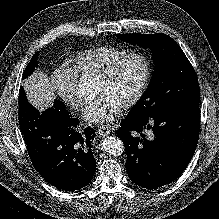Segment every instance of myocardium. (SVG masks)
Instances as JSON below:
<instances>
[{
  "mask_svg": "<svg viewBox=\"0 0 219 219\" xmlns=\"http://www.w3.org/2000/svg\"><path fill=\"white\" fill-rule=\"evenodd\" d=\"M138 58L144 64V75L142 81L132 96V98L126 102L123 106H121L124 110H130L135 107L143 98L144 94L146 93L148 86L151 81L152 73H153V65L152 61L149 56L143 52H130L125 54L124 56L120 57L116 60L113 64H111L101 75H99L98 80L102 82L110 81L113 76L118 72L121 66L129 59Z\"/></svg>",
  "mask_w": 219,
  "mask_h": 219,
  "instance_id": "obj_1",
  "label": "myocardium"
}]
</instances>
